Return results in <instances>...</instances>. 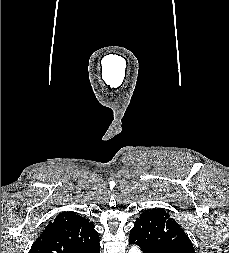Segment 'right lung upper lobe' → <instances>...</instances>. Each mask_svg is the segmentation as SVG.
Here are the masks:
<instances>
[{"instance_id": "cb5924a9", "label": "right lung upper lobe", "mask_w": 229, "mask_h": 253, "mask_svg": "<svg viewBox=\"0 0 229 253\" xmlns=\"http://www.w3.org/2000/svg\"><path fill=\"white\" fill-rule=\"evenodd\" d=\"M97 244L94 224L76 212L64 211L45 227L29 253H83Z\"/></svg>"}]
</instances>
